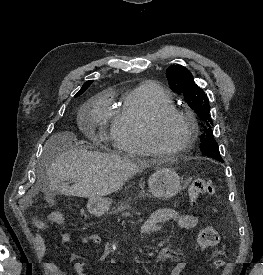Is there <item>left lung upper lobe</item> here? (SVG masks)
Segmentation results:
<instances>
[{"label": "left lung upper lobe", "mask_w": 263, "mask_h": 275, "mask_svg": "<svg viewBox=\"0 0 263 275\" xmlns=\"http://www.w3.org/2000/svg\"><path fill=\"white\" fill-rule=\"evenodd\" d=\"M170 88L177 94L184 95L188 105L202 121L204 133L201 135L200 151L208 157L221 160L218 143L216 142L210 116V106L207 95L195 84L191 72L181 65H171L166 70Z\"/></svg>", "instance_id": "5c2ea615"}]
</instances>
